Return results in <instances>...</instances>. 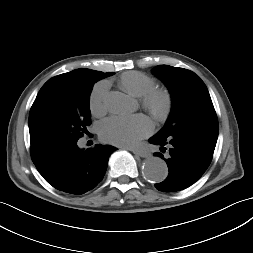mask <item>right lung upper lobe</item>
<instances>
[{
  "mask_svg": "<svg viewBox=\"0 0 253 253\" xmlns=\"http://www.w3.org/2000/svg\"><path fill=\"white\" fill-rule=\"evenodd\" d=\"M108 73H103V72L95 71V70H91V69H76L71 72L64 73V74H61L58 76H94V75L104 76ZM38 163H40V162H37L34 164H38Z\"/></svg>",
  "mask_w": 253,
  "mask_h": 253,
  "instance_id": "right-lung-upper-lobe-1",
  "label": "right lung upper lobe"
}]
</instances>
